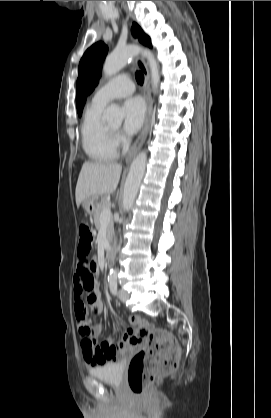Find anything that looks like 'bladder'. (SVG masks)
<instances>
[{
    "mask_svg": "<svg viewBox=\"0 0 271 418\" xmlns=\"http://www.w3.org/2000/svg\"><path fill=\"white\" fill-rule=\"evenodd\" d=\"M124 367L125 365L123 361L107 362L100 366L91 368L89 373L99 380L111 384H120L123 379Z\"/></svg>",
    "mask_w": 271,
    "mask_h": 418,
    "instance_id": "1",
    "label": "bladder"
}]
</instances>
